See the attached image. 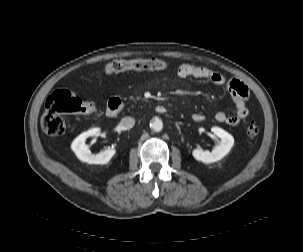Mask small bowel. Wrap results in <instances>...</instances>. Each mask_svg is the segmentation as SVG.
<instances>
[{
	"instance_id": "small-bowel-1",
	"label": "small bowel",
	"mask_w": 303,
	"mask_h": 252,
	"mask_svg": "<svg viewBox=\"0 0 303 252\" xmlns=\"http://www.w3.org/2000/svg\"><path fill=\"white\" fill-rule=\"evenodd\" d=\"M177 73L182 78L206 79L215 86H225L226 84L225 78L221 74L203 66L182 64L178 67ZM228 89L234 101L236 113L232 115L227 110H219L214 114V120L236 126L248 115L245 101L249 97V91L241 83L235 81L230 83ZM192 119L195 122H203L205 116L202 113L196 112L192 115Z\"/></svg>"
}]
</instances>
